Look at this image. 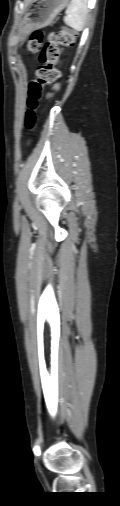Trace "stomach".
Listing matches in <instances>:
<instances>
[{"mask_svg":"<svg viewBox=\"0 0 120 506\" xmlns=\"http://www.w3.org/2000/svg\"><path fill=\"white\" fill-rule=\"evenodd\" d=\"M68 2L69 0H32L24 17L21 37L25 39L31 30L49 25Z\"/></svg>","mask_w":120,"mask_h":506,"instance_id":"stomach-1","label":"stomach"}]
</instances>
